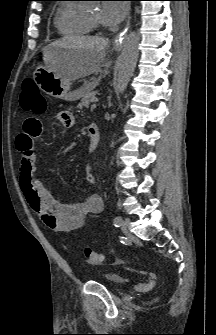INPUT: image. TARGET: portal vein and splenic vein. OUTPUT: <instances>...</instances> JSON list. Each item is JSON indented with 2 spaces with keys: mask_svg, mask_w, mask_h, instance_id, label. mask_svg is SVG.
<instances>
[{
  "mask_svg": "<svg viewBox=\"0 0 216 335\" xmlns=\"http://www.w3.org/2000/svg\"><path fill=\"white\" fill-rule=\"evenodd\" d=\"M97 101H98V100H95L94 103L91 105V108H92V109L96 108V106H97L96 102H97Z\"/></svg>",
  "mask_w": 216,
  "mask_h": 335,
  "instance_id": "portal-vein-and-splenic-vein-1",
  "label": "portal vein and splenic vein"
}]
</instances>
